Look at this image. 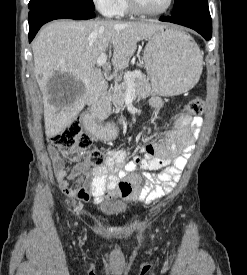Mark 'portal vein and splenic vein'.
Returning a JSON list of instances; mask_svg holds the SVG:
<instances>
[{"label": "portal vein and splenic vein", "mask_w": 247, "mask_h": 275, "mask_svg": "<svg viewBox=\"0 0 247 275\" xmlns=\"http://www.w3.org/2000/svg\"><path fill=\"white\" fill-rule=\"evenodd\" d=\"M108 59V55L107 54H102L101 56H99V58L97 59V65L99 67H103ZM142 73L140 71H135V72H127L124 75V79L126 81H128L130 83L131 79L137 75H141Z\"/></svg>", "instance_id": "18ae733b"}]
</instances>
